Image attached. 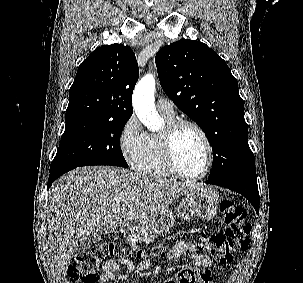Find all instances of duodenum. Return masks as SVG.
Returning a JSON list of instances; mask_svg holds the SVG:
<instances>
[{"instance_id": "obj_1", "label": "duodenum", "mask_w": 303, "mask_h": 283, "mask_svg": "<svg viewBox=\"0 0 303 283\" xmlns=\"http://www.w3.org/2000/svg\"><path fill=\"white\" fill-rule=\"evenodd\" d=\"M123 228H132L133 227V224L131 223V221H127L123 224L122 226Z\"/></svg>"}]
</instances>
